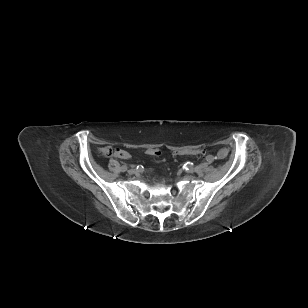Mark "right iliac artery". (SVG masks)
I'll list each match as a JSON object with an SVG mask.
<instances>
[{
  "label": "right iliac artery",
  "mask_w": 308,
  "mask_h": 308,
  "mask_svg": "<svg viewBox=\"0 0 308 308\" xmlns=\"http://www.w3.org/2000/svg\"><path fill=\"white\" fill-rule=\"evenodd\" d=\"M127 168H128V167H127L126 165H122V166H121V171H123V172H124V171H126V170H127Z\"/></svg>",
  "instance_id": "1"
}]
</instances>
